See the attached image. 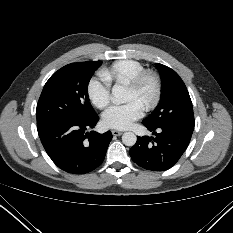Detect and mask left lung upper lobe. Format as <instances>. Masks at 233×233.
I'll return each instance as SVG.
<instances>
[{
  "label": "left lung upper lobe",
  "mask_w": 233,
  "mask_h": 233,
  "mask_svg": "<svg viewBox=\"0 0 233 233\" xmlns=\"http://www.w3.org/2000/svg\"><path fill=\"white\" fill-rule=\"evenodd\" d=\"M161 76V99L150 116L143 124L159 128L168 125H184L194 128L193 106L188 90L171 68L156 63Z\"/></svg>",
  "instance_id": "1"
}]
</instances>
